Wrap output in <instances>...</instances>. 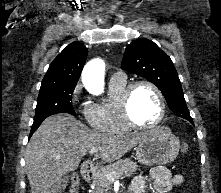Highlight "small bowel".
Returning <instances> with one entry per match:
<instances>
[{"label":"small bowel","instance_id":"c3829d8e","mask_svg":"<svg viewBox=\"0 0 221 193\" xmlns=\"http://www.w3.org/2000/svg\"><path fill=\"white\" fill-rule=\"evenodd\" d=\"M147 179L153 180L156 193H168L173 187L184 182L182 174H172L165 166L153 167L148 175H137L130 184L131 193H142L146 187Z\"/></svg>","mask_w":221,"mask_h":193}]
</instances>
